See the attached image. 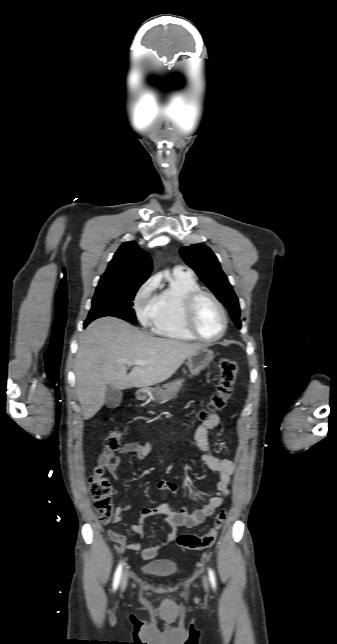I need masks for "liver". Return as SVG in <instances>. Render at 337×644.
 Wrapping results in <instances>:
<instances>
[{
	"instance_id": "1",
	"label": "liver",
	"mask_w": 337,
	"mask_h": 644,
	"mask_svg": "<svg viewBox=\"0 0 337 644\" xmlns=\"http://www.w3.org/2000/svg\"><path fill=\"white\" fill-rule=\"evenodd\" d=\"M202 347L154 337L115 317L93 321L82 334L74 364L76 394L84 419L102 408L108 386L123 390L161 383ZM136 359L147 364L134 365L127 374L124 361Z\"/></svg>"
}]
</instances>
